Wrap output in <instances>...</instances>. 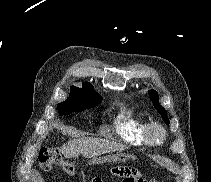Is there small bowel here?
Wrapping results in <instances>:
<instances>
[{"mask_svg": "<svg viewBox=\"0 0 211 182\" xmlns=\"http://www.w3.org/2000/svg\"><path fill=\"white\" fill-rule=\"evenodd\" d=\"M123 182H133L130 177L123 179Z\"/></svg>", "mask_w": 211, "mask_h": 182, "instance_id": "c3829d8e", "label": "small bowel"}]
</instances>
